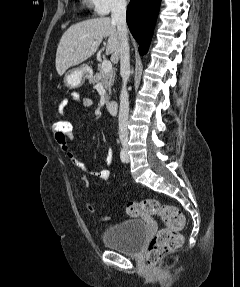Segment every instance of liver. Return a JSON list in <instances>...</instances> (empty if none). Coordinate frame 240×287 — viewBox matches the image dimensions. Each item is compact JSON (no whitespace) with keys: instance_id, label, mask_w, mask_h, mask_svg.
I'll return each mask as SVG.
<instances>
[{"instance_id":"obj_1","label":"liver","mask_w":240,"mask_h":287,"mask_svg":"<svg viewBox=\"0 0 240 287\" xmlns=\"http://www.w3.org/2000/svg\"><path fill=\"white\" fill-rule=\"evenodd\" d=\"M108 37L106 54L113 63L119 60L120 40L116 24L109 17H99L70 26L62 35L56 52V70L59 75L94 55L104 38Z\"/></svg>"}]
</instances>
